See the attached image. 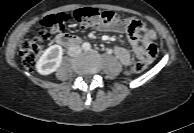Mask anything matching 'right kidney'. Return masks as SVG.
Instances as JSON below:
<instances>
[{
	"label": "right kidney",
	"mask_w": 194,
	"mask_h": 133,
	"mask_svg": "<svg viewBox=\"0 0 194 133\" xmlns=\"http://www.w3.org/2000/svg\"><path fill=\"white\" fill-rule=\"evenodd\" d=\"M63 49L60 45H52L44 51L36 63V70L41 75L55 72L62 61Z\"/></svg>",
	"instance_id": "ca27d5eb"
}]
</instances>
